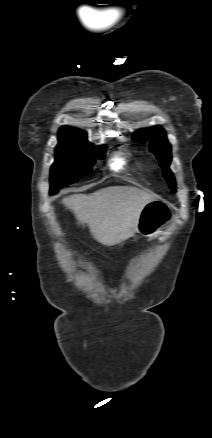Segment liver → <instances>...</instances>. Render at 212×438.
<instances>
[{
	"mask_svg": "<svg viewBox=\"0 0 212 438\" xmlns=\"http://www.w3.org/2000/svg\"><path fill=\"white\" fill-rule=\"evenodd\" d=\"M156 197L133 187H108L92 194H73L62 203L87 224L93 237L103 245L113 246L136 230L144 206Z\"/></svg>",
	"mask_w": 212,
	"mask_h": 438,
	"instance_id": "obj_1",
	"label": "liver"
}]
</instances>
